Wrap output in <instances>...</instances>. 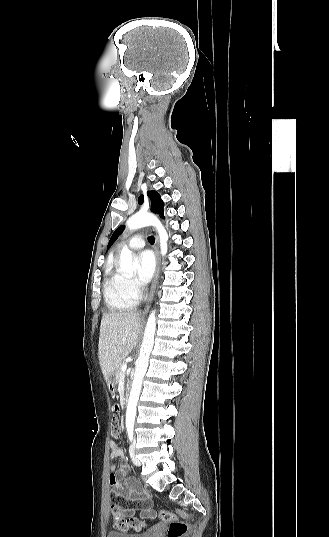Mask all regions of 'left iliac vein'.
<instances>
[{
	"mask_svg": "<svg viewBox=\"0 0 329 537\" xmlns=\"http://www.w3.org/2000/svg\"><path fill=\"white\" fill-rule=\"evenodd\" d=\"M129 451H130V456H131V459H132L133 463L136 466H140V461L135 455L134 442L130 445Z\"/></svg>",
	"mask_w": 329,
	"mask_h": 537,
	"instance_id": "1",
	"label": "left iliac vein"
}]
</instances>
